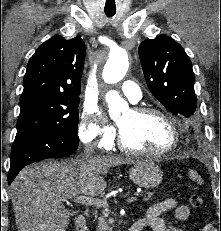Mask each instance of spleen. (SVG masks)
Returning a JSON list of instances; mask_svg holds the SVG:
<instances>
[{"label":"spleen","mask_w":221,"mask_h":231,"mask_svg":"<svg viewBox=\"0 0 221 231\" xmlns=\"http://www.w3.org/2000/svg\"><path fill=\"white\" fill-rule=\"evenodd\" d=\"M190 177L193 178V179H196V180H198L200 182V179H199L196 172L190 171Z\"/></svg>","instance_id":"1"}]
</instances>
